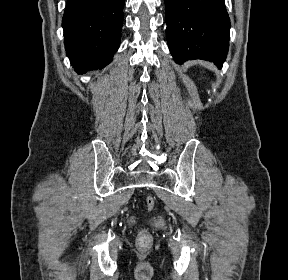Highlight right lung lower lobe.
<instances>
[{"instance_id": "98d812e1", "label": "right lung lower lobe", "mask_w": 288, "mask_h": 280, "mask_svg": "<svg viewBox=\"0 0 288 280\" xmlns=\"http://www.w3.org/2000/svg\"><path fill=\"white\" fill-rule=\"evenodd\" d=\"M124 0H67L62 26L66 54L85 73L108 65L119 48Z\"/></svg>"}]
</instances>
